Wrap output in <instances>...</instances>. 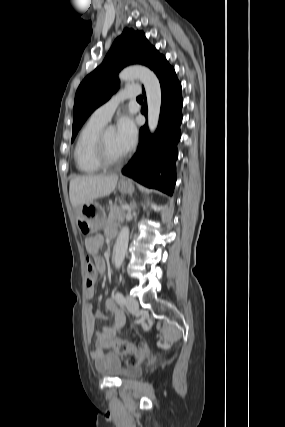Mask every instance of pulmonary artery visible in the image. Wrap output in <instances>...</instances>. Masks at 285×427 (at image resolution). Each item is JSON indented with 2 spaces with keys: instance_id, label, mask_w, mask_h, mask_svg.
Wrapping results in <instances>:
<instances>
[{
  "instance_id": "pulmonary-artery-1",
  "label": "pulmonary artery",
  "mask_w": 285,
  "mask_h": 427,
  "mask_svg": "<svg viewBox=\"0 0 285 427\" xmlns=\"http://www.w3.org/2000/svg\"><path fill=\"white\" fill-rule=\"evenodd\" d=\"M140 87L138 85H128L118 93H116L107 102L99 106L92 114V118L103 123H107L118 105L126 99H133L140 95Z\"/></svg>"
}]
</instances>
